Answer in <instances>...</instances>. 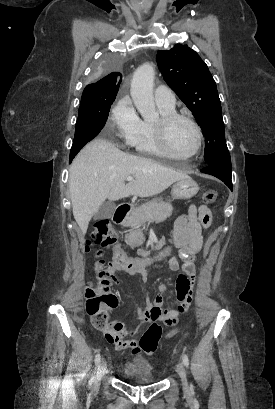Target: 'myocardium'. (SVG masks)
I'll return each instance as SVG.
<instances>
[{
	"mask_svg": "<svg viewBox=\"0 0 275 409\" xmlns=\"http://www.w3.org/2000/svg\"><path fill=\"white\" fill-rule=\"evenodd\" d=\"M179 121H185L191 125L194 130L196 144L194 150L186 156H181L176 154L170 144V133L172 127ZM155 131L158 143L163 150V152L168 157H196L201 150L203 136L199 125L189 116L183 114H170L166 116H162L158 122L155 124Z\"/></svg>",
	"mask_w": 275,
	"mask_h": 409,
	"instance_id": "f54148a6",
	"label": "myocardium"
}]
</instances>
